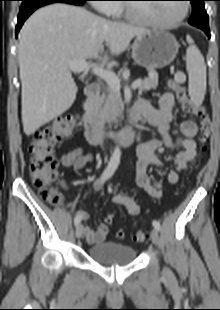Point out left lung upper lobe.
I'll return each instance as SVG.
<instances>
[{
  "label": "left lung upper lobe",
  "instance_id": "5c2ea615",
  "mask_svg": "<svg viewBox=\"0 0 220 310\" xmlns=\"http://www.w3.org/2000/svg\"><path fill=\"white\" fill-rule=\"evenodd\" d=\"M192 3V16L189 23L200 29H209L208 15L204 8V1L206 0H190Z\"/></svg>",
  "mask_w": 220,
  "mask_h": 310
}]
</instances>
